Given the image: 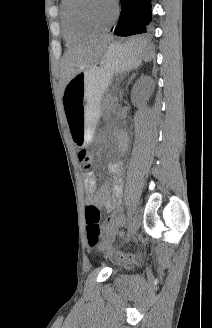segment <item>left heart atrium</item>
<instances>
[{
	"instance_id": "obj_1",
	"label": "left heart atrium",
	"mask_w": 212,
	"mask_h": 328,
	"mask_svg": "<svg viewBox=\"0 0 212 328\" xmlns=\"http://www.w3.org/2000/svg\"><path fill=\"white\" fill-rule=\"evenodd\" d=\"M110 2H112V3H113V2H114V0H110Z\"/></svg>"
}]
</instances>
